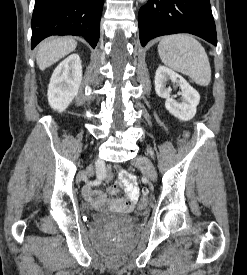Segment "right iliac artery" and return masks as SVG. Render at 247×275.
Instances as JSON below:
<instances>
[{"instance_id": "obj_1", "label": "right iliac artery", "mask_w": 247, "mask_h": 275, "mask_svg": "<svg viewBox=\"0 0 247 275\" xmlns=\"http://www.w3.org/2000/svg\"><path fill=\"white\" fill-rule=\"evenodd\" d=\"M98 164H95L96 180H107V167L106 164H101L102 160H97Z\"/></svg>"}]
</instances>
